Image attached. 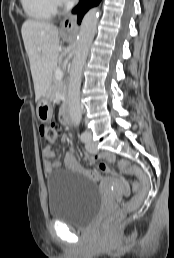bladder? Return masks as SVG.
Masks as SVG:
<instances>
[{
	"label": "bladder",
	"instance_id": "1",
	"mask_svg": "<svg viewBox=\"0 0 174 258\" xmlns=\"http://www.w3.org/2000/svg\"><path fill=\"white\" fill-rule=\"evenodd\" d=\"M47 203L51 218L71 226L85 227L99 214L102 194L86 174L59 170L48 180Z\"/></svg>",
	"mask_w": 174,
	"mask_h": 258
}]
</instances>
